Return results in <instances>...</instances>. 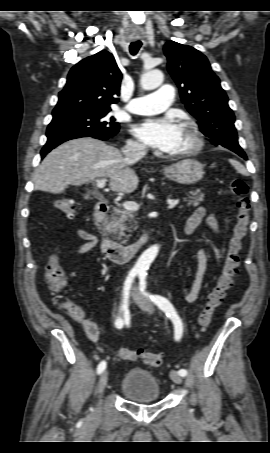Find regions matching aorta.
Masks as SVG:
<instances>
[{
  "mask_svg": "<svg viewBox=\"0 0 270 453\" xmlns=\"http://www.w3.org/2000/svg\"><path fill=\"white\" fill-rule=\"evenodd\" d=\"M164 76L160 70L146 71L141 77V86L145 90H152L159 87L163 82ZM159 252L157 245L148 248L138 259L135 267L145 270L153 262Z\"/></svg>",
  "mask_w": 270,
  "mask_h": 453,
  "instance_id": "obj_1",
  "label": "aorta"
}]
</instances>
